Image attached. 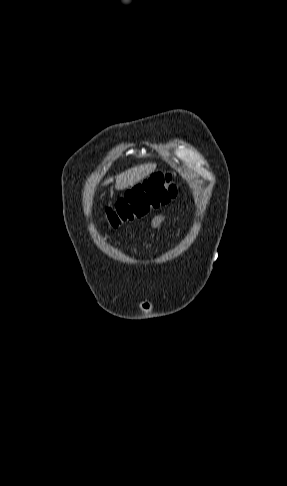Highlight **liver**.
<instances>
[{
    "instance_id": "liver-1",
    "label": "liver",
    "mask_w": 287,
    "mask_h": 486,
    "mask_svg": "<svg viewBox=\"0 0 287 486\" xmlns=\"http://www.w3.org/2000/svg\"><path fill=\"white\" fill-rule=\"evenodd\" d=\"M156 169V164L148 163L135 166L125 172L120 173L115 177V188L117 190H124L130 186H134L136 183L146 178ZM111 178L104 182V185L111 182Z\"/></svg>"
}]
</instances>
